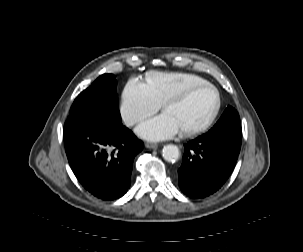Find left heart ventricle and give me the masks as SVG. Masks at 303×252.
Here are the masks:
<instances>
[{
	"mask_svg": "<svg viewBox=\"0 0 303 252\" xmlns=\"http://www.w3.org/2000/svg\"><path fill=\"white\" fill-rule=\"evenodd\" d=\"M215 106V94L208 87L192 93L184 102L170 106L166 113L179 130L196 128L210 117Z\"/></svg>",
	"mask_w": 303,
	"mask_h": 252,
	"instance_id": "1",
	"label": "left heart ventricle"
}]
</instances>
